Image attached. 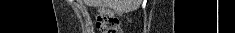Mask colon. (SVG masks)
<instances>
[{
	"mask_svg": "<svg viewBox=\"0 0 235 33\" xmlns=\"http://www.w3.org/2000/svg\"><path fill=\"white\" fill-rule=\"evenodd\" d=\"M96 26L100 33H121L119 19L110 10H102L98 14Z\"/></svg>",
	"mask_w": 235,
	"mask_h": 33,
	"instance_id": "1",
	"label": "colon"
}]
</instances>
